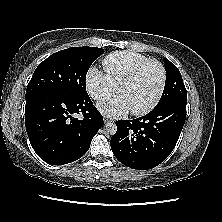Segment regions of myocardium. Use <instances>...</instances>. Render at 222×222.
<instances>
[{
	"mask_svg": "<svg viewBox=\"0 0 222 222\" xmlns=\"http://www.w3.org/2000/svg\"><path fill=\"white\" fill-rule=\"evenodd\" d=\"M149 64H156L161 71L160 87L155 97L147 105H145L140 109L130 110L131 114L133 115H144L150 112L160 101L166 86V79H167L166 69L164 65L156 59H148L140 63L138 66H136L117 86V91L119 92L122 87L133 82L136 79V77L139 75V73Z\"/></svg>",
	"mask_w": 222,
	"mask_h": 222,
	"instance_id": "myocardium-1",
	"label": "myocardium"
}]
</instances>
